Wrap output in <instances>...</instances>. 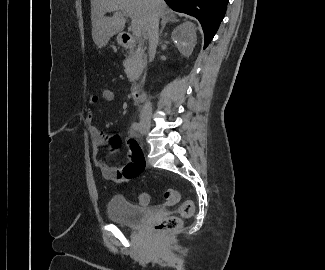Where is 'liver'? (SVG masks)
<instances>
[{
  "instance_id": "liver-1",
  "label": "liver",
  "mask_w": 325,
  "mask_h": 270,
  "mask_svg": "<svg viewBox=\"0 0 325 270\" xmlns=\"http://www.w3.org/2000/svg\"><path fill=\"white\" fill-rule=\"evenodd\" d=\"M118 7L112 17H105L111 8ZM168 13L164 0H91L92 38L97 47L105 46L114 34L126 24L125 14L139 26L144 38L149 37L150 23L154 16L165 17Z\"/></svg>"
}]
</instances>
